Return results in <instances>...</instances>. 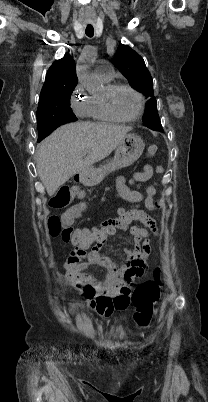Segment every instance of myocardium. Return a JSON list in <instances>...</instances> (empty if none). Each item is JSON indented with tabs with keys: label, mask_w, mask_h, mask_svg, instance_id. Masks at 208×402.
Listing matches in <instances>:
<instances>
[{
	"label": "myocardium",
	"mask_w": 208,
	"mask_h": 402,
	"mask_svg": "<svg viewBox=\"0 0 208 402\" xmlns=\"http://www.w3.org/2000/svg\"><path fill=\"white\" fill-rule=\"evenodd\" d=\"M120 89H128L139 98L140 107H139L138 113L135 116L129 117V118L123 117L116 111L115 106H114V96H115L116 92ZM105 100H106V104H107L108 110L111 113V115L121 122L135 121V120L139 119L144 112V108H145L144 96L138 90H136L135 88H133L129 85H125V84L113 85L112 87H110L109 89L106 90Z\"/></svg>",
	"instance_id": "obj_1"
}]
</instances>
